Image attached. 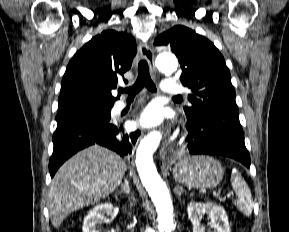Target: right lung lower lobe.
Here are the masks:
<instances>
[{
	"label": "right lung lower lobe",
	"mask_w": 289,
	"mask_h": 232,
	"mask_svg": "<svg viewBox=\"0 0 289 232\" xmlns=\"http://www.w3.org/2000/svg\"><path fill=\"white\" fill-rule=\"evenodd\" d=\"M139 132H124L123 126L109 121L78 120L60 122L53 135V154L49 161L51 177L73 154L92 144L107 147L122 157L130 155Z\"/></svg>",
	"instance_id": "obj_1"
}]
</instances>
